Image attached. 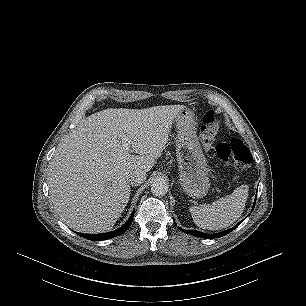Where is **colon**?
Returning <instances> with one entry per match:
<instances>
[{
  "label": "colon",
  "mask_w": 306,
  "mask_h": 306,
  "mask_svg": "<svg viewBox=\"0 0 306 306\" xmlns=\"http://www.w3.org/2000/svg\"><path fill=\"white\" fill-rule=\"evenodd\" d=\"M220 127V119L214 110H208L202 119L200 138L211 157L228 164L234 162L237 167L245 168L252 161L249 148L239 138H233L229 143H216L215 138Z\"/></svg>",
  "instance_id": "obj_1"
}]
</instances>
